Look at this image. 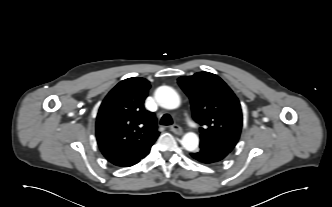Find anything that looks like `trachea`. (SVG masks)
Masks as SVG:
<instances>
[{
	"mask_svg": "<svg viewBox=\"0 0 332 207\" xmlns=\"http://www.w3.org/2000/svg\"><path fill=\"white\" fill-rule=\"evenodd\" d=\"M161 125L169 126L173 124V120L170 115L164 114L160 120Z\"/></svg>",
	"mask_w": 332,
	"mask_h": 207,
	"instance_id": "3493384b",
	"label": "trachea"
}]
</instances>
